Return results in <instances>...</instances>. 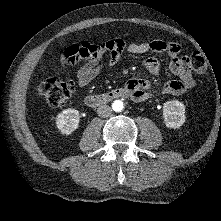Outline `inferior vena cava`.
I'll use <instances>...</instances> for the list:
<instances>
[{
  "instance_id": "inferior-vena-cava-1",
  "label": "inferior vena cava",
  "mask_w": 221,
  "mask_h": 221,
  "mask_svg": "<svg viewBox=\"0 0 221 221\" xmlns=\"http://www.w3.org/2000/svg\"><path fill=\"white\" fill-rule=\"evenodd\" d=\"M112 113V108L108 105H101L97 109V114L100 117H108Z\"/></svg>"
}]
</instances>
